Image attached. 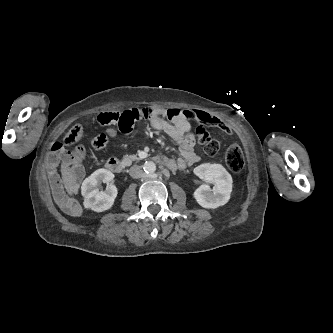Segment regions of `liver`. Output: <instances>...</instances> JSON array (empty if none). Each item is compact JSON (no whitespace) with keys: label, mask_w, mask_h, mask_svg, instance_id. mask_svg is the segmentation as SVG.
Here are the masks:
<instances>
[{"label":"liver","mask_w":333,"mask_h":333,"mask_svg":"<svg viewBox=\"0 0 333 333\" xmlns=\"http://www.w3.org/2000/svg\"><path fill=\"white\" fill-rule=\"evenodd\" d=\"M61 174L67 193L72 195L78 189L77 176L75 172L66 163L63 162L61 165Z\"/></svg>","instance_id":"liver-1"}]
</instances>
